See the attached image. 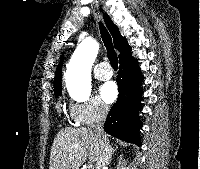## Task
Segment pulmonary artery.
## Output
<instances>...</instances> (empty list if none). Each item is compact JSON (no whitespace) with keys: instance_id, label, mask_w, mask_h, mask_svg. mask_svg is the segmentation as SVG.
Segmentation results:
<instances>
[{"instance_id":"pulmonary-artery-1","label":"pulmonary artery","mask_w":200,"mask_h":169,"mask_svg":"<svg viewBox=\"0 0 200 169\" xmlns=\"http://www.w3.org/2000/svg\"><path fill=\"white\" fill-rule=\"evenodd\" d=\"M94 75L98 80H108L112 77L113 73L108 68L107 62H100L94 68Z\"/></svg>"}]
</instances>
